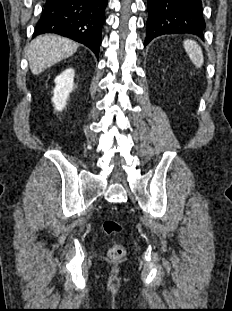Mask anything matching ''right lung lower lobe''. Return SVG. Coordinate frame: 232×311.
I'll list each match as a JSON object with an SVG mask.
<instances>
[{
	"instance_id": "1",
	"label": "right lung lower lobe",
	"mask_w": 232,
	"mask_h": 311,
	"mask_svg": "<svg viewBox=\"0 0 232 311\" xmlns=\"http://www.w3.org/2000/svg\"><path fill=\"white\" fill-rule=\"evenodd\" d=\"M108 0H47L33 37L56 33L89 47L98 56Z\"/></svg>"
}]
</instances>
